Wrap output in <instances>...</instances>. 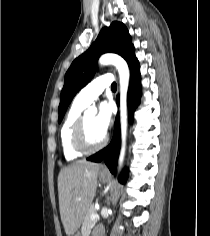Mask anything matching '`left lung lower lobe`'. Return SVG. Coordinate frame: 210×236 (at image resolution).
<instances>
[{"instance_id":"1","label":"left lung lower lobe","mask_w":210,"mask_h":236,"mask_svg":"<svg viewBox=\"0 0 210 236\" xmlns=\"http://www.w3.org/2000/svg\"><path fill=\"white\" fill-rule=\"evenodd\" d=\"M140 80H141L140 67L138 65L133 71H131L130 87L128 91V104L130 113H132L135 110V108L138 106L140 102V96H141ZM117 103L119 105V97H117ZM114 127H115L114 136L110 145L105 149L101 150L100 152L94 154L93 156L87 158V160L94 162H101L102 160H104L109 170L112 173L116 172L118 153L120 149V128H119L118 116L116 117ZM126 178H127V172H123L119 178V181L125 183Z\"/></svg>"}]
</instances>
